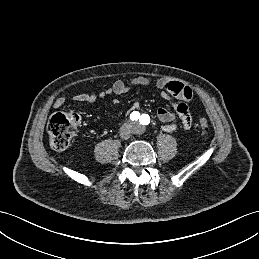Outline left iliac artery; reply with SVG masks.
I'll return each mask as SVG.
<instances>
[{
	"mask_svg": "<svg viewBox=\"0 0 259 259\" xmlns=\"http://www.w3.org/2000/svg\"><path fill=\"white\" fill-rule=\"evenodd\" d=\"M139 121L142 125H148L150 122V117L147 114H142Z\"/></svg>",
	"mask_w": 259,
	"mask_h": 259,
	"instance_id": "1",
	"label": "left iliac artery"
}]
</instances>
